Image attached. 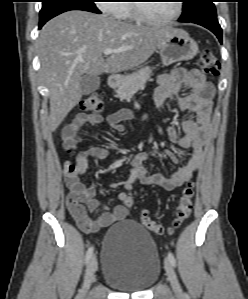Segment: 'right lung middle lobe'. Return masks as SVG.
Returning <instances> with one entry per match:
<instances>
[{"mask_svg":"<svg viewBox=\"0 0 248 299\" xmlns=\"http://www.w3.org/2000/svg\"><path fill=\"white\" fill-rule=\"evenodd\" d=\"M39 14L40 22L48 21L54 16L69 10H84L100 14L94 0H42Z\"/></svg>","mask_w":248,"mask_h":299,"instance_id":"obj_1","label":"right lung middle lobe"}]
</instances>
